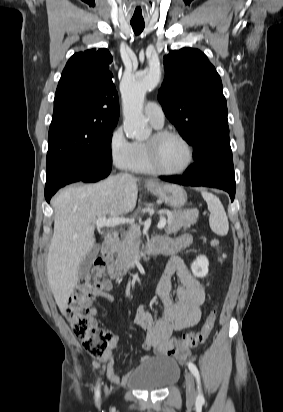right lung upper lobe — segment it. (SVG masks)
<instances>
[{
  "mask_svg": "<svg viewBox=\"0 0 283 412\" xmlns=\"http://www.w3.org/2000/svg\"><path fill=\"white\" fill-rule=\"evenodd\" d=\"M112 60L107 49L75 53L59 80L53 117L75 113L94 119L103 128L115 127L119 101L109 70Z\"/></svg>",
  "mask_w": 283,
  "mask_h": 412,
  "instance_id": "cb5924a9",
  "label": "right lung upper lobe"
}]
</instances>
